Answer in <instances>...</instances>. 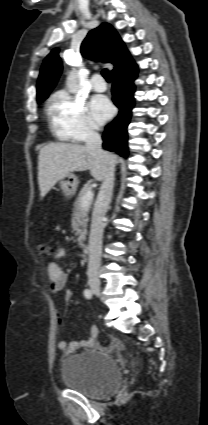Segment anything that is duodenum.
<instances>
[{
	"label": "duodenum",
	"instance_id": "duodenum-1",
	"mask_svg": "<svg viewBox=\"0 0 208 425\" xmlns=\"http://www.w3.org/2000/svg\"><path fill=\"white\" fill-rule=\"evenodd\" d=\"M82 252L84 254H89L90 249H89V246L87 244H82Z\"/></svg>",
	"mask_w": 208,
	"mask_h": 425
}]
</instances>
